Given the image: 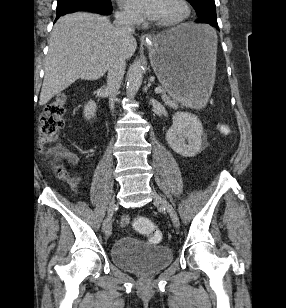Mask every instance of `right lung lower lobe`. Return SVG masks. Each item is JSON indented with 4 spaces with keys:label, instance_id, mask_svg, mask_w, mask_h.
Here are the masks:
<instances>
[{
    "label": "right lung lower lobe",
    "instance_id": "98d812e1",
    "mask_svg": "<svg viewBox=\"0 0 286 308\" xmlns=\"http://www.w3.org/2000/svg\"><path fill=\"white\" fill-rule=\"evenodd\" d=\"M77 11H87V12H94V13L103 14V15H109L112 12V6L101 7L97 5H73V6L62 8V9H57L56 20L61 15L72 13V12H77Z\"/></svg>",
    "mask_w": 286,
    "mask_h": 308
}]
</instances>
